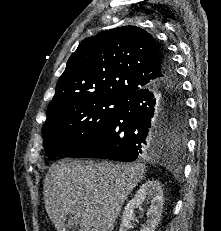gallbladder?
<instances>
[{
	"mask_svg": "<svg viewBox=\"0 0 221 231\" xmlns=\"http://www.w3.org/2000/svg\"><path fill=\"white\" fill-rule=\"evenodd\" d=\"M77 226L76 221L74 220L73 215H69L67 218V225H66V230L69 231V229H74Z\"/></svg>",
	"mask_w": 221,
	"mask_h": 231,
	"instance_id": "bac80fb5",
	"label": "gallbladder"
}]
</instances>
